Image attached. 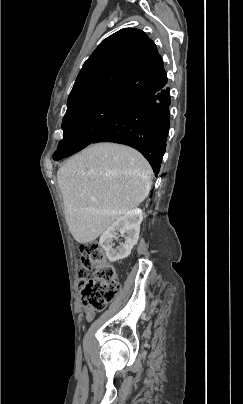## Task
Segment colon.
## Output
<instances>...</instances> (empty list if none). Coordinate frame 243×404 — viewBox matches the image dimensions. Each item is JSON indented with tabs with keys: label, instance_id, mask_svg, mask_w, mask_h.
<instances>
[{
	"label": "colon",
	"instance_id": "obj_1",
	"mask_svg": "<svg viewBox=\"0 0 243 404\" xmlns=\"http://www.w3.org/2000/svg\"><path fill=\"white\" fill-rule=\"evenodd\" d=\"M80 251L78 276L82 301L90 310L101 311L119 291L117 268L95 241L83 243ZM91 271L93 273L89 276Z\"/></svg>",
	"mask_w": 243,
	"mask_h": 404
}]
</instances>
